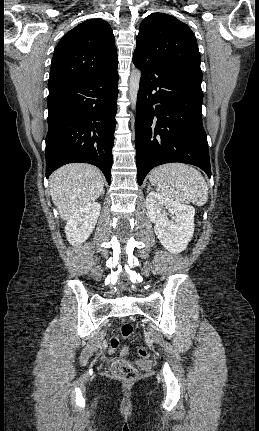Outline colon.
I'll return each instance as SVG.
<instances>
[{"label":"colon","mask_w":259,"mask_h":431,"mask_svg":"<svg viewBox=\"0 0 259 431\" xmlns=\"http://www.w3.org/2000/svg\"><path fill=\"white\" fill-rule=\"evenodd\" d=\"M134 327L130 323H124L119 328V334L122 338H128L133 334ZM119 348V339L114 337L110 341V351L114 352ZM122 355L128 352L127 347H122L120 350ZM138 354L142 358H148L150 353L147 348H138ZM112 374L115 378L123 381L134 380L138 376V369L129 361L125 359H119L112 364Z\"/></svg>","instance_id":"5ec220e1"}]
</instances>
